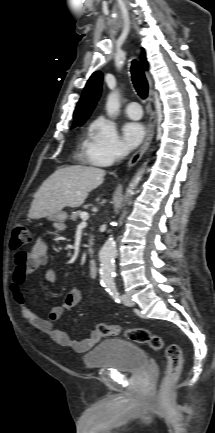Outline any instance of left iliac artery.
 <instances>
[{
	"mask_svg": "<svg viewBox=\"0 0 215 433\" xmlns=\"http://www.w3.org/2000/svg\"><path fill=\"white\" fill-rule=\"evenodd\" d=\"M106 291L109 292L115 302L120 303L119 293L115 284L108 285Z\"/></svg>",
	"mask_w": 215,
	"mask_h": 433,
	"instance_id": "obj_1",
	"label": "left iliac artery"
}]
</instances>
